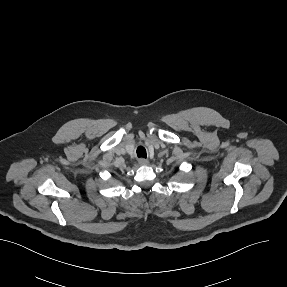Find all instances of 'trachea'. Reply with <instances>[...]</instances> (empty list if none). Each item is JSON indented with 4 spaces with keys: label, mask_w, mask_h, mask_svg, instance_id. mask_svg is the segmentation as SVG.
<instances>
[{
    "label": "trachea",
    "mask_w": 287,
    "mask_h": 287,
    "mask_svg": "<svg viewBox=\"0 0 287 287\" xmlns=\"http://www.w3.org/2000/svg\"><path fill=\"white\" fill-rule=\"evenodd\" d=\"M137 156L142 158L147 157L146 149L143 146H139L137 148Z\"/></svg>",
    "instance_id": "3493384b"
}]
</instances>
